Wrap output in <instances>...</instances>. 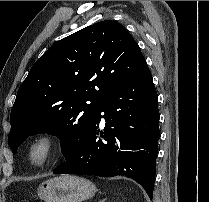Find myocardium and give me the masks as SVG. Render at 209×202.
I'll return each instance as SVG.
<instances>
[{
  "label": "myocardium",
  "mask_w": 209,
  "mask_h": 202,
  "mask_svg": "<svg viewBox=\"0 0 209 202\" xmlns=\"http://www.w3.org/2000/svg\"><path fill=\"white\" fill-rule=\"evenodd\" d=\"M59 141L55 133L42 131L36 134L28 145V159L36 167L45 166L57 153Z\"/></svg>",
  "instance_id": "obj_1"
}]
</instances>
